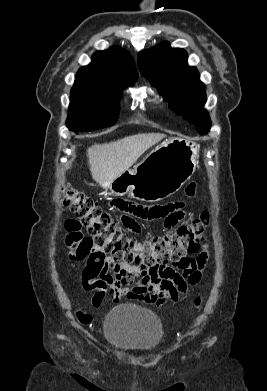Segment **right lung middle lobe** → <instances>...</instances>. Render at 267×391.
<instances>
[{
    "label": "right lung middle lobe",
    "instance_id": "right-lung-middle-lobe-1",
    "mask_svg": "<svg viewBox=\"0 0 267 391\" xmlns=\"http://www.w3.org/2000/svg\"><path fill=\"white\" fill-rule=\"evenodd\" d=\"M66 125L70 131H92L111 126L119 115L121 92H106L94 86L74 84Z\"/></svg>",
    "mask_w": 267,
    "mask_h": 391
}]
</instances>
